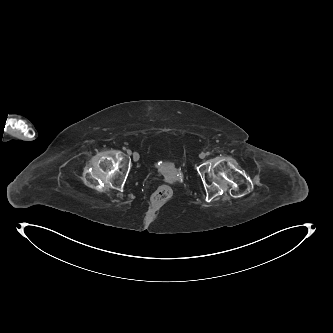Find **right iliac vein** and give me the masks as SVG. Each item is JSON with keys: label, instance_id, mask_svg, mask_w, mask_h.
I'll list each match as a JSON object with an SVG mask.
<instances>
[{"label": "right iliac vein", "instance_id": "1", "mask_svg": "<svg viewBox=\"0 0 333 333\" xmlns=\"http://www.w3.org/2000/svg\"><path fill=\"white\" fill-rule=\"evenodd\" d=\"M127 154L128 155H131L132 154V152H131V150H127ZM139 158H140V156H139V154L137 153V152H135L134 154H133V159L135 160V161H137V160H139Z\"/></svg>", "mask_w": 333, "mask_h": 333}]
</instances>
